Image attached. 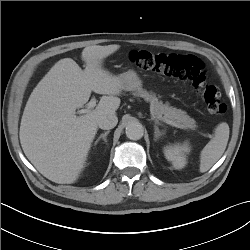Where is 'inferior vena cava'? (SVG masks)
Returning <instances> with one entry per match:
<instances>
[{
    "mask_svg": "<svg viewBox=\"0 0 250 250\" xmlns=\"http://www.w3.org/2000/svg\"><path fill=\"white\" fill-rule=\"evenodd\" d=\"M118 123V118L114 114L101 116L98 120V126L101 129L109 130L114 128Z\"/></svg>",
    "mask_w": 250,
    "mask_h": 250,
    "instance_id": "inferior-vena-cava-1",
    "label": "inferior vena cava"
}]
</instances>
